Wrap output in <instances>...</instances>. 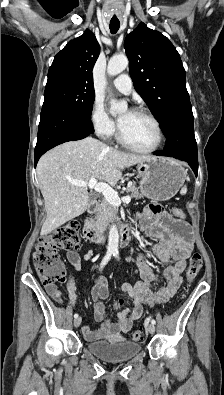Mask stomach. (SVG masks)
Returning <instances> with one entry per match:
<instances>
[{
	"label": "stomach",
	"mask_w": 224,
	"mask_h": 395,
	"mask_svg": "<svg viewBox=\"0 0 224 395\" xmlns=\"http://www.w3.org/2000/svg\"><path fill=\"white\" fill-rule=\"evenodd\" d=\"M137 173L141 194L156 201L174 197L186 179V171L180 163L163 157H150L139 162Z\"/></svg>",
	"instance_id": "0dacf381"
}]
</instances>
